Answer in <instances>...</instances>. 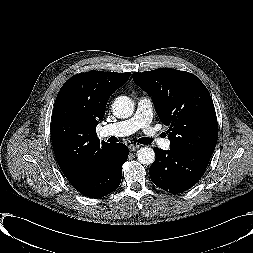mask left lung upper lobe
Here are the masks:
<instances>
[{"mask_svg":"<svg viewBox=\"0 0 253 253\" xmlns=\"http://www.w3.org/2000/svg\"><path fill=\"white\" fill-rule=\"evenodd\" d=\"M134 82L152 98L160 120L169 125L171 148L213 154L218 138L212 98L195 75L171 68L133 73Z\"/></svg>","mask_w":253,"mask_h":253,"instance_id":"obj_1","label":"left lung upper lobe"}]
</instances>
